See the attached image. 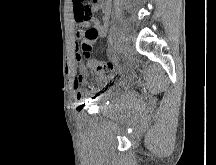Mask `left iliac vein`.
Listing matches in <instances>:
<instances>
[{
	"instance_id": "1",
	"label": "left iliac vein",
	"mask_w": 216,
	"mask_h": 165,
	"mask_svg": "<svg viewBox=\"0 0 216 165\" xmlns=\"http://www.w3.org/2000/svg\"><path fill=\"white\" fill-rule=\"evenodd\" d=\"M117 38V49L115 57L121 55L127 48L130 42V31L126 27H121L115 34V40Z\"/></svg>"
}]
</instances>
